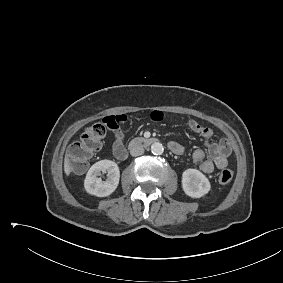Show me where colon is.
<instances>
[{
	"label": "colon",
	"mask_w": 283,
	"mask_h": 283,
	"mask_svg": "<svg viewBox=\"0 0 283 283\" xmlns=\"http://www.w3.org/2000/svg\"><path fill=\"white\" fill-rule=\"evenodd\" d=\"M107 125L104 122L96 123L87 128L80 138L74 142L69 151V165L73 172L80 173L86 170L92 156L101 149L106 135ZM233 179V172L224 169L218 180L221 184H228Z\"/></svg>",
	"instance_id": "1"
}]
</instances>
